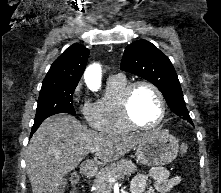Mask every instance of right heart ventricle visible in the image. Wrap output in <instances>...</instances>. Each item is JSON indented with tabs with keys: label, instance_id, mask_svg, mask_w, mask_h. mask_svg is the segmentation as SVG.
Returning a JSON list of instances; mask_svg holds the SVG:
<instances>
[{
	"label": "right heart ventricle",
	"instance_id": "right-heart-ventricle-1",
	"mask_svg": "<svg viewBox=\"0 0 221 193\" xmlns=\"http://www.w3.org/2000/svg\"><path fill=\"white\" fill-rule=\"evenodd\" d=\"M129 82L122 76L111 77L106 93L84 107L86 121L94 129L105 133H128L133 128L125 121L121 110V97Z\"/></svg>",
	"mask_w": 221,
	"mask_h": 193
}]
</instances>
